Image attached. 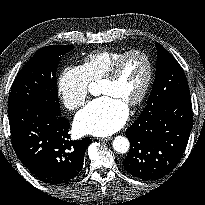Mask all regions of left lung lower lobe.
Here are the masks:
<instances>
[{
	"instance_id": "left-lung-lower-lobe-1",
	"label": "left lung lower lobe",
	"mask_w": 205,
	"mask_h": 205,
	"mask_svg": "<svg viewBox=\"0 0 205 205\" xmlns=\"http://www.w3.org/2000/svg\"><path fill=\"white\" fill-rule=\"evenodd\" d=\"M192 125L190 95L174 97L155 112L140 115L126 131L130 150L124 168L142 180L164 177L180 160Z\"/></svg>"
}]
</instances>
